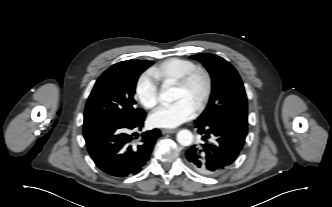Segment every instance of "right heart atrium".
<instances>
[{
    "label": "right heart atrium",
    "mask_w": 332,
    "mask_h": 207,
    "mask_svg": "<svg viewBox=\"0 0 332 207\" xmlns=\"http://www.w3.org/2000/svg\"><path fill=\"white\" fill-rule=\"evenodd\" d=\"M135 93L145 108H154L159 101L158 81L150 72L143 73L136 82Z\"/></svg>",
    "instance_id": "d8ad5b80"
}]
</instances>
